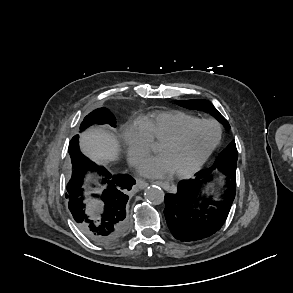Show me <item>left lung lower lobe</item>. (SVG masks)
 Segmentation results:
<instances>
[{
	"label": "left lung lower lobe",
	"mask_w": 293,
	"mask_h": 293,
	"mask_svg": "<svg viewBox=\"0 0 293 293\" xmlns=\"http://www.w3.org/2000/svg\"><path fill=\"white\" fill-rule=\"evenodd\" d=\"M223 172L227 177L225 199L217 203L209 200H204L202 204L198 203L202 184L209 179L207 171L197 173L192 180L179 183L175 194L165 195V218L177 240H201L222 227L236 192V169L230 168Z\"/></svg>",
	"instance_id": "1"
}]
</instances>
